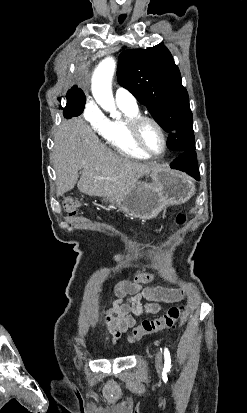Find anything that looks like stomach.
I'll use <instances>...</instances> for the list:
<instances>
[{
	"label": "stomach",
	"mask_w": 247,
	"mask_h": 413,
	"mask_svg": "<svg viewBox=\"0 0 247 413\" xmlns=\"http://www.w3.org/2000/svg\"><path fill=\"white\" fill-rule=\"evenodd\" d=\"M150 182L139 180L121 192L120 196H103L104 202L115 204L120 211L136 219H153L168 204H182L195 192L193 178L158 164L148 172Z\"/></svg>",
	"instance_id": "stomach-1"
}]
</instances>
